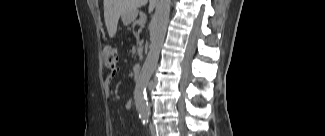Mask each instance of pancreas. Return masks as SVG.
Returning <instances> with one entry per match:
<instances>
[{
    "instance_id": "pancreas-1",
    "label": "pancreas",
    "mask_w": 325,
    "mask_h": 136,
    "mask_svg": "<svg viewBox=\"0 0 325 136\" xmlns=\"http://www.w3.org/2000/svg\"><path fill=\"white\" fill-rule=\"evenodd\" d=\"M137 22V21H136ZM136 22L134 23H132L131 25H130V28L128 29V32L130 33V34H133L132 36H133V38H138V33H136V28H137V25H136Z\"/></svg>"
}]
</instances>
